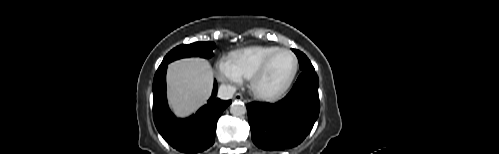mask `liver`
Here are the masks:
<instances>
[{"label":"liver","instance_id":"obj_1","mask_svg":"<svg viewBox=\"0 0 499 154\" xmlns=\"http://www.w3.org/2000/svg\"><path fill=\"white\" fill-rule=\"evenodd\" d=\"M167 87L171 109L178 117H187L195 113L211 95V65L198 57L174 61L168 66Z\"/></svg>","mask_w":499,"mask_h":154}]
</instances>
